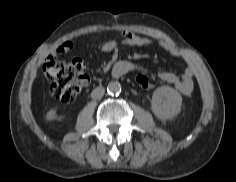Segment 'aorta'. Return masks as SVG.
<instances>
[{"mask_svg":"<svg viewBox=\"0 0 236 182\" xmlns=\"http://www.w3.org/2000/svg\"><path fill=\"white\" fill-rule=\"evenodd\" d=\"M107 91L111 95H117L121 92V85L117 81H112L107 86Z\"/></svg>","mask_w":236,"mask_h":182,"instance_id":"obj_1","label":"aorta"}]
</instances>
